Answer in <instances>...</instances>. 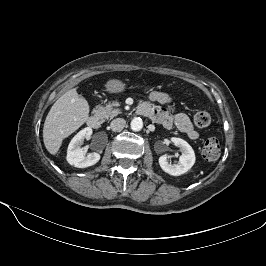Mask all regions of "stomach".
<instances>
[{
	"label": "stomach",
	"instance_id": "obj_1",
	"mask_svg": "<svg viewBox=\"0 0 266 266\" xmlns=\"http://www.w3.org/2000/svg\"><path fill=\"white\" fill-rule=\"evenodd\" d=\"M105 89L108 93H121L125 91L126 84L118 79H111L106 82Z\"/></svg>",
	"mask_w": 266,
	"mask_h": 266
}]
</instances>
